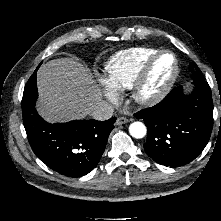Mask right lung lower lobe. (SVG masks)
I'll list each match as a JSON object with an SVG mask.
<instances>
[{
	"mask_svg": "<svg viewBox=\"0 0 221 221\" xmlns=\"http://www.w3.org/2000/svg\"><path fill=\"white\" fill-rule=\"evenodd\" d=\"M37 69L29 78L22 99L23 123L29 143L35 155L52 170L68 177H81L99 162L116 118L47 123L35 109Z\"/></svg>",
	"mask_w": 221,
	"mask_h": 221,
	"instance_id": "98d812e1",
	"label": "right lung lower lobe"
}]
</instances>
